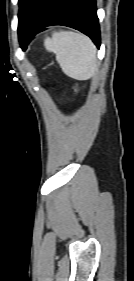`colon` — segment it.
<instances>
[{"instance_id": "colon-1", "label": "colon", "mask_w": 134, "mask_h": 281, "mask_svg": "<svg viewBox=\"0 0 134 281\" xmlns=\"http://www.w3.org/2000/svg\"><path fill=\"white\" fill-rule=\"evenodd\" d=\"M73 88H74L75 92L78 93V86H77V84H74V85H73Z\"/></svg>"}]
</instances>
